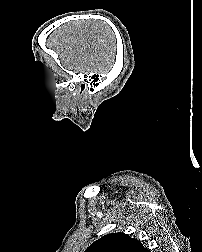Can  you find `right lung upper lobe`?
Segmentation results:
<instances>
[{
	"label": "right lung upper lobe",
	"mask_w": 202,
	"mask_h": 252,
	"mask_svg": "<svg viewBox=\"0 0 202 252\" xmlns=\"http://www.w3.org/2000/svg\"><path fill=\"white\" fill-rule=\"evenodd\" d=\"M85 252H149L141 242L124 233H111L95 241Z\"/></svg>",
	"instance_id": "1"
}]
</instances>
